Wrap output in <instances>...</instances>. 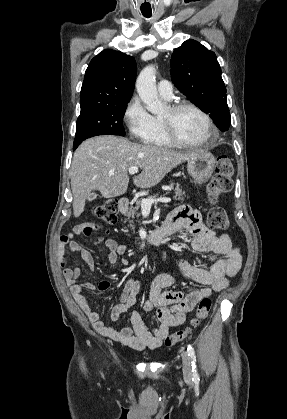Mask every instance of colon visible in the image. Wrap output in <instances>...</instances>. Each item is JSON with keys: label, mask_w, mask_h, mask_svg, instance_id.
I'll return each instance as SVG.
<instances>
[{"label": "colon", "mask_w": 287, "mask_h": 419, "mask_svg": "<svg viewBox=\"0 0 287 419\" xmlns=\"http://www.w3.org/2000/svg\"><path fill=\"white\" fill-rule=\"evenodd\" d=\"M233 164L229 157L220 156L217 158L215 172L207 186L208 198L215 203L218 198L232 188ZM94 214L103 223L113 225L117 221L118 205L113 199H106L94 208ZM208 223L212 229L224 230L228 227V217L224 209L212 207L208 213ZM212 302L209 298H203L197 307L196 314L192 320V327H197L207 318L211 310ZM190 333V329L177 331L165 338V346L171 347L185 340Z\"/></svg>", "instance_id": "colon-1"}]
</instances>
